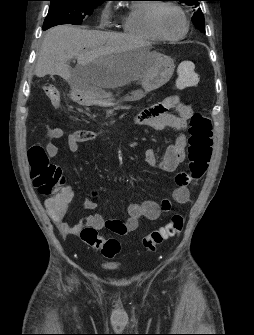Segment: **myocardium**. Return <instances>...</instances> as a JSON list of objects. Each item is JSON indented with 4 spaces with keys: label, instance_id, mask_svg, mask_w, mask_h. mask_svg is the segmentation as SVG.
<instances>
[{
    "label": "myocardium",
    "instance_id": "obj_1",
    "mask_svg": "<svg viewBox=\"0 0 254 335\" xmlns=\"http://www.w3.org/2000/svg\"><path fill=\"white\" fill-rule=\"evenodd\" d=\"M164 7H169V8H172V9L176 10L180 14V16L182 17V20L184 22V29L177 36H167L159 28L158 14H159L160 10ZM148 21H149V26H150L151 30L153 31V33L159 39L166 40V41L181 40L187 35V33L190 29V23H189V20H188V17L186 15V13L184 12V10L180 6H178L177 4L172 3V2H159V3L154 4L152 6L150 12H149Z\"/></svg>",
    "mask_w": 254,
    "mask_h": 335
}]
</instances>
